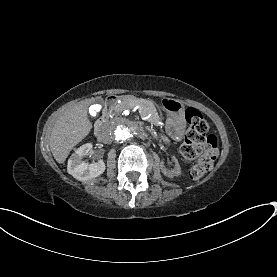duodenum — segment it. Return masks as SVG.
<instances>
[{
	"label": "duodenum",
	"mask_w": 277,
	"mask_h": 277,
	"mask_svg": "<svg viewBox=\"0 0 277 277\" xmlns=\"http://www.w3.org/2000/svg\"><path fill=\"white\" fill-rule=\"evenodd\" d=\"M125 98H126V96H124V95H111L106 99L102 113H101V117L96 122V125H95V133L96 134H99L102 131L105 121L107 120L108 116L110 115L111 111L113 110V108L115 107L117 102L119 100H123Z\"/></svg>",
	"instance_id": "410a0bca"
}]
</instances>
